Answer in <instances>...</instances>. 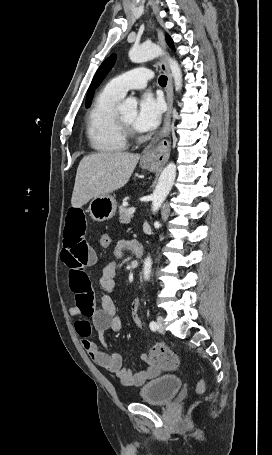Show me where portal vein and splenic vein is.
I'll return each instance as SVG.
<instances>
[{"instance_id":"1","label":"portal vein and splenic vein","mask_w":272,"mask_h":455,"mask_svg":"<svg viewBox=\"0 0 272 455\" xmlns=\"http://www.w3.org/2000/svg\"><path fill=\"white\" fill-rule=\"evenodd\" d=\"M134 212H135V208L134 207L129 208L128 213L130 215L134 214Z\"/></svg>"}]
</instances>
